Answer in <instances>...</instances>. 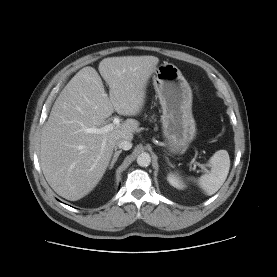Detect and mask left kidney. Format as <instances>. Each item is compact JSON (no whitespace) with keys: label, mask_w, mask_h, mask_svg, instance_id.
I'll use <instances>...</instances> for the list:
<instances>
[{"label":"left kidney","mask_w":277,"mask_h":277,"mask_svg":"<svg viewBox=\"0 0 277 277\" xmlns=\"http://www.w3.org/2000/svg\"><path fill=\"white\" fill-rule=\"evenodd\" d=\"M167 181L169 182L170 185H172L173 187H175L177 189H183L185 187V185L182 182V180L180 179V177L177 176V174H175V173L168 174Z\"/></svg>","instance_id":"left-kidney-1"}]
</instances>
